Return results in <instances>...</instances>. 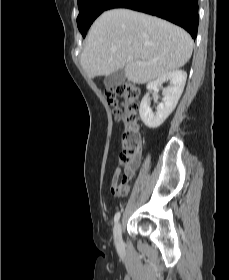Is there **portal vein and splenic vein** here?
<instances>
[{
  "instance_id": "1",
  "label": "portal vein and splenic vein",
  "mask_w": 229,
  "mask_h": 280,
  "mask_svg": "<svg viewBox=\"0 0 229 280\" xmlns=\"http://www.w3.org/2000/svg\"><path fill=\"white\" fill-rule=\"evenodd\" d=\"M127 60H128V61H132V60H133V57H132V56H128V57H127Z\"/></svg>"
}]
</instances>
